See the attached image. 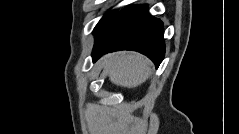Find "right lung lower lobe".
Segmentation results:
<instances>
[{
  "label": "right lung lower lobe",
  "mask_w": 239,
  "mask_h": 134,
  "mask_svg": "<svg viewBox=\"0 0 239 134\" xmlns=\"http://www.w3.org/2000/svg\"><path fill=\"white\" fill-rule=\"evenodd\" d=\"M93 59L117 50H134L158 67L165 53L162 22L146 5H130L113 14L95 33Z\"/></svg>",
  "instance_id": "obj_1"
}]
</instances>
